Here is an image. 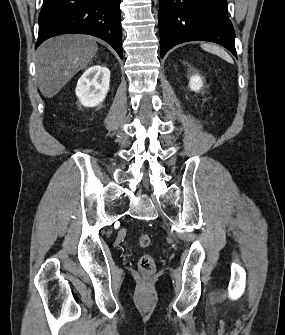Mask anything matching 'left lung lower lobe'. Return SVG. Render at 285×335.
<instances>
[{"instance_id": "left-lung-lower-lobe-1", "label": "left lung lower lobe", "mask_w": 285, "mask_h": 335, "mask_svg": "<svg viewBox=\"0 0 285 335\" xmlns=\"http://www.w3.org/2000/svg\"><path fill=\"white\" fill-rule=\"evenodd\" d=\"M159 31L161 58L187 41L214 42L237 57L227 0H160Z\"/></svg>"}]
</instances>
